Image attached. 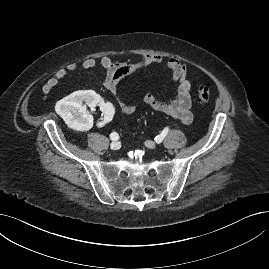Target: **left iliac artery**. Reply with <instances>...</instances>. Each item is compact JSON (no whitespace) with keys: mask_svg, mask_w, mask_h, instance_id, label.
Listing matches in <instances>:
<instances>
[{"mask_svg":"<svg viewBox=\"0 0 269 269\" xmlns=\"http://www.w3.org/2000/svg\"><path fill=\"white\" fill-rule=\"evenodd\" d=\"M168 131H169V128H168V127L164 128V129L162 130V132L160 133V135H158V136L155 137V141H156L157 143L162 142V140H163V139L165 138V136L167 135Z\"/></svg>","mask_w":269,"mask_h":269,"instance_id":"1","label":"left iliac artery"}]
</instances>
